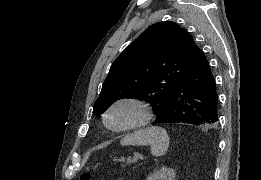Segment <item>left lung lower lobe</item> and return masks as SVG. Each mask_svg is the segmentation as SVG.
<instances>
[{"mask_svg":"<svg viewBox=\"0 0 261 180\" xmlns=\"http://www.w3.org/2000/svg\"><path fill=\"white\" fill-rule=\"evenodd\" d=\"M189 123L213 129L218 122V94L210 65L201 49L177 82L165 112L153 124Z\"/></svg>","mask_w":261,"mask_h":180,"instance_id":"1","label":"left lung lower lobe"}]
</instances>
